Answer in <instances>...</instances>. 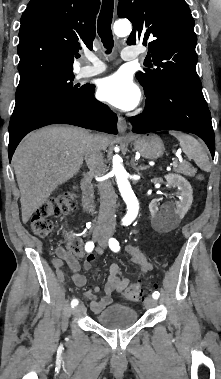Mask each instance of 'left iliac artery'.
<instances>
[{
	"label": "left iliac artery",
	"instance_id": "left-iliac-artery-1",
	"mask_svg": "<svg viewBox=\"0 0 221 379\" xmlns=\"http://www.w3.org/2000/svg\"><path fill=\"white\" fill-rule=\"evenodd\" d=\"M109 247L112 251L118 252L120 250L119 242L115 238L109 239ZM160 296V293L158 291L153 292L152 297L154 299H158Z\"/></svg>",
	"mask_w": 221,
	"mask_h": 379
}]
</instances>
